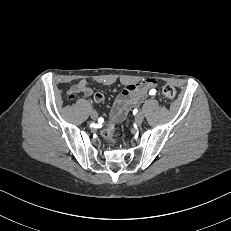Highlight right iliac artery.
Masks as SVG:
<instances>
[{"mask_svg": "<svg viewBox=\"0 0 231 231\" xmlns=\"http://www.w3.org/2000/svg\"><path fill=\"white\" fill-rule=\"evenodd\" d=\"M103 121H104L103 118H99V119H98V122H99V123H102Z\"/></svg>", "mask_w": 231, "mask_h": 231, "instance_id": "right-iliac-artery-1", "label": "right iliac artery"}]
</instances>
